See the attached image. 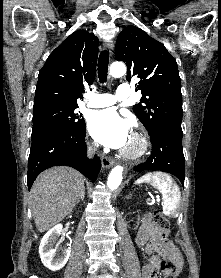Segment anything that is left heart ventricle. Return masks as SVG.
Wrapping results in <instances>:
<instances>
[{"instance_id": "1", "label": "left heart ventricle", "mask_w": 221, "mask_h": 278, "mask_svg": "<svg viewBox=\"0 0 221 278\" xmlns=\"http://www.w3.org/2000/svg\"><path fill=\"white\" fill-rule=\"evenodd\" d=\"M136 146L135 142L130 140L128 145L126 146L127 149H133Z\"/></svg>"}]
</instances>
